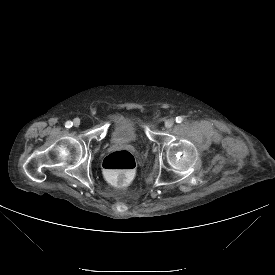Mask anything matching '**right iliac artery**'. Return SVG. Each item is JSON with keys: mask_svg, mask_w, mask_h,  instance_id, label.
<instances>
[{"mask_svg": "<svg viewBox=\"0 0 275 275\" xmlns=\"http://www.w3.org/2000/svg\"><path fill=\"white\" fill-rule=\"evenodd\" d=\"M72 125H73V123H72L71 121H67V122L65 123V127H66V128H71Z\"/></svg>", "mask_w": 275, "mask_h": 275, "instance_id": "right-iliac-artery-1", "label": "right iliac artery"}]
</instances>
